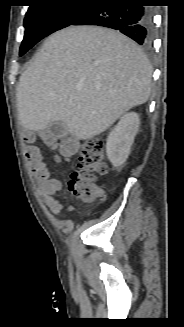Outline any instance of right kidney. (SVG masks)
Returning <instances> with one entry per match:
<instances>
[{
    "label": "right kidney",
    "instance_id": "1",
    "mask_svg": "<svg viewBox=\"0 0 184 327\" xmlns=\"http://www.w3.org/2000/svg\"><path fill=\"white\" fill-rule=\"evenodd\" d=\"M139 125L140 119L137 113H126L109 134L106 153L113 166H121L127 160Z\"/></svg>",
    "mask_w": 184,
    "mask_h": 327
}]
</instances>
